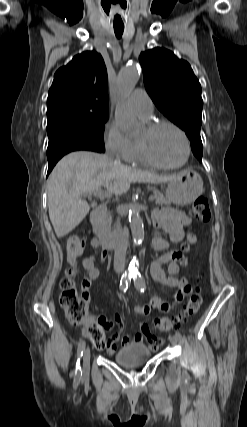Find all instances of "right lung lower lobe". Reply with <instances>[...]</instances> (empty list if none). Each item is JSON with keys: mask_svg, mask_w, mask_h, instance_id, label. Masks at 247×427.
Returning <instances> with one entry per match:
<instances>
[{"mask_svg": "<svg viewBox=\"0 0 247 427\" xmlns=\"http://www.w3.org/2000/svg\"><path fill=\"white\" fill-rule=\"evenodd\" d=\"M77 150H88L100 153L104 152L92 143L76 137L65 135L50 137L47 148V159L49 164L47 175L51 172L57 161L62 156Z\"/></svg>", "mask_w": 247, "mask_h": 427, "instance_id": "obj_1", "label": "right lung lower lobe"}]
</instances>
